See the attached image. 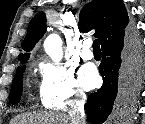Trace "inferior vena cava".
<instances>
[{
	"label": "inferior vena cava",
	"mask_w": 145,
	"mask_h": 124,
	"mask_svg": "<svg viewBox=\"0 0 145 124\" xmlns=\"http://www.w3.org/2000/svg\"><path fill=\"white\" fill-rule=\"evenodd\" d=\"M84 101H76V109L70 112V119L72 124H85Z\"/></svg>",
	"instance_id": "inferior-vena-cava-1"
}]
</instances>
